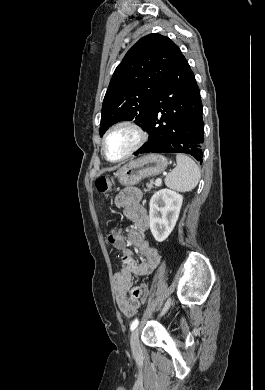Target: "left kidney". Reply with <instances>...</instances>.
<instances>
[{
	"mask_svg": "<svg viewBox=\"0 0 265 390\" xmlns=\"http://www.w3.org/2000/svg\"><path fill=\"white\" fill-rule=\"evenodd\" d=\"M183 196L170 189L157 191L149 203L150 230L158 242H163L173 231L179 217Z\"/></svg>",
	"mask_w": 265,
	"mask_h": 390,
	"instance_id": "5707ae66",
	"label": "left kidney"
}]
</instances>
